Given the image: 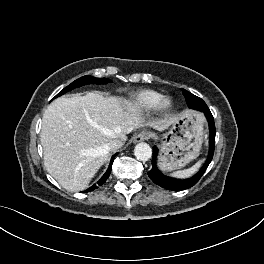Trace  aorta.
I'll use <instances>...</instances> for the list:
<instances>
[{"label": "aorta", "instance_id": "1", "mask_svg": "<svg viewBox=\"0 0 264 264\" xmlns=\"http://www.w3.org/2000/svg\"><path fill=\"white\" fill-rule=\"evenodd\" d=\"M134 154L138 160L147 161L152 156V149L147 143H139L134 148Z\"/></svg>", "mask_w": 264, "mask_h": 264}]
</instances>
